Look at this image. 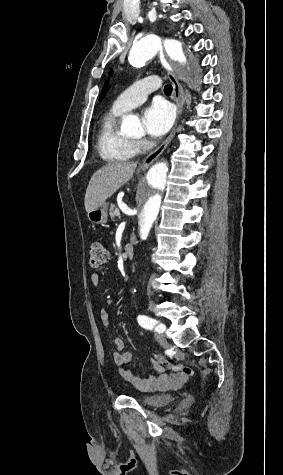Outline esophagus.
I'll use <instances>...</instances> for the list:
<instances>
[{
  "instance_id": "esophagus-1",
  "label": "esophagus",
  "mask_w": 283,
  "mask_h": 475,
  "mask_svg": "<svg viewBox=\"0 0 283 475\" xmlns=\"http://www.w3.org/2000/svg\"><path fill=\"white\" fill-rule=\"evenodd\" d=\"M167 75H168V78H169L170 82L172 83L174 101L176 102L177 107H178L177 115H180V113L182 112L183 105L185 103L184 92H183L182 86L180 85V83L177 80V78L175 77V75L172 72H168ZM176 126H177V124L173 128L170 135L166 138V140L159 147H157L155 150H153V152H151V153H149V155H147V157L142 162L141 168L149 167L153 162H155L160 157V155L164 152L167 145L173 139V137L175 135V131H176Z\"/></svg>"
}]
</instances>
